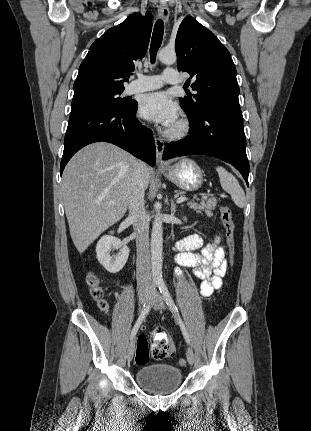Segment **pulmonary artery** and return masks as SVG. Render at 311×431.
<instances>
[{"instance_id": "1", "label": "pulmonary artery", "mask_w": 311, "mask_h": 431, "mask_svg": "<svg viewBox=\"0 0 311 431\" xmlns=\"http://www.w3.org/2000/svg\"><path fill=\"white\" fill-rule=\"evenodd\" d=\"M181 83V79L175 75V70L167 68L160 75H142L132 81L126 88L128 94L142 93L162 87L164 84Z\"/></svg>"}]
</instances>
